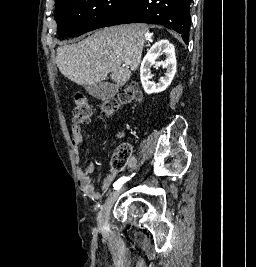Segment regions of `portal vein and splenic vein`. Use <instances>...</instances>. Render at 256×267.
<instances>
[{"mask_svg":"<svg viewBox=\"0 0 256 267\" xmlns=\"http://www.w3.org/2000/svg\"><path fill=\"white\" fill-rule=\"evenodd\" d=\"M123 66H126V64H123ZM128 66H129V64H128Z\"/></svg>","mask_w":256,"mask_h":267,"instance_id":"portal-vein-and-splenic-vein-1","label":"portal vein and splenic vein"}]
</instances>
